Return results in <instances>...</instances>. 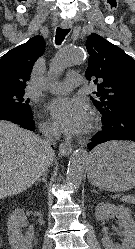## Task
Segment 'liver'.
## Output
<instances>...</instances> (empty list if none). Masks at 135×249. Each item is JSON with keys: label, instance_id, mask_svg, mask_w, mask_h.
<instances>
[{"label": "liver", "instance_id": "1", "mask_svg": "<svg viewBox=\"0 0 135 249\" xmlns=\"http://www.w3.org/2000/svg\"><path fill=\"white\" fill-rule=\"evenodd\" d=\"M54 157L39 136L14 123L0 121V199L31 187Z\"/></svg>", "mask_w": 135, "mask_h": 249}]
</instances>
